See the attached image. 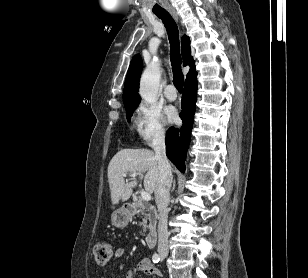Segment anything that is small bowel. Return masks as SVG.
I'll return each instance as SVG.
<instances>
[{
  "mask_svg": "<svg viewBox=\"0 0 308 278\" xmlns=\"http://www.w3.org/2000/svg\"><path fill=\"white\" fill-rule=\"evenodd\" d=\"M125 253L126 251L124 248H117L113 253V257L115 259H120L125 255ZM139 273H144L152 278L161 277L160 271L156 267H154V265L148 258L142 259L136 268L128 271L126 274V278H135L136 275H138Z\"/></svg>",
  "mask_w": 308,
  "mask_h": 278,
  "instance_id": "obj_1",
  "label": "small bowel"
}]
</instances>
